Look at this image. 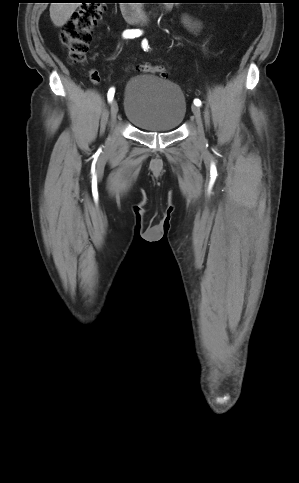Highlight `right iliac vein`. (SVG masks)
Masks as SVG:
<instances>
[{
	"instance_id": "right-iliac-vein-1",
	"label": "right iliac vein",
	"mask_w": 299,
	"mask_h": 483,
	"mask_svg": "<svg viewBox=\"0 0 299 483\" xmlns=\"http://www.w3.org/2000/svg\"><path fill=\"white\" fill-rule=\"evenodd\" d=\"M110 112H111L112 122L115 123L116 117H117V113H118V103H117V101L115 99L111 103Z\"/></svg>"
}]
</instances>
